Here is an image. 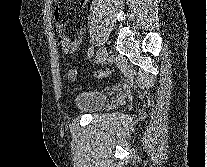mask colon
<instances>
[{
    "label": "colon",
    "mask_w": 207,
    "mask_h": 167,
    "mask_svg": "<svg viewBox=\"0 0 207 167\" xmlns=\"http://www.w3.org/2000/svg\"><path fill=\"white\" fill-rule=\"evenodd\" d=\"M110 74H111V71L109 70H100V71L94 72L92 76L94 78H103V77L109 76ZM65 75L67 79L75 80L79 77V72L76 69L69 68L66 70Z\"/></svg>",
    "instance_id": "1"
}]
</instances>
